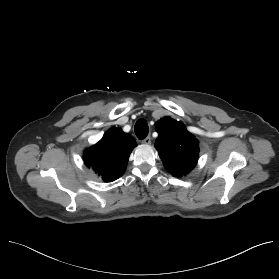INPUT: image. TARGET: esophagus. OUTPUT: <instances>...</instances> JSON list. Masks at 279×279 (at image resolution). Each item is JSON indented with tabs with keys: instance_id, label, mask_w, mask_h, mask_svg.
Listing matches in <instances>:
<instances>
[{
	"instance_id": "obj_1",
	"label": "esophagus",
	"mask_w": 279,
	"mask_h": 279,
	"mask_svg": "<svg viewBox=\"0 0 279 279\" xmlns=\"http://www.w3.org/2000/svg\"><path fill=\"white\" fill-rule=\"evenodd\" d=\"M141 143L144 145H149L151 143V137H146L145 139L141 140Z\"/></svg>"
}]
</instances>
